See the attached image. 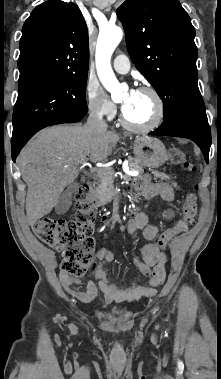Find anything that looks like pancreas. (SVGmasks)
Returning <instances> with one entry per match:
<instances>
[{
	"instance_id": "1",
	"label": "pancreas",
	"mask_w": 221,
	"mask_h": 379,
	"mask_svg": "<svg viewBox=\"0 0 221 379\" xmlns=\"http://www.w3.org/2000/svg\"><path fill=\"white\" fill-rule=\"evenodd\" d=\"M129 168L132 171H137L139 174H143V164L136 158H128ZM152 174L156 178H161L162 180H169L171 177L163 172L152 170ZM127 180H131V177L125 175ZM97 187L92 190V193L102 202H110L115 195L114 189V170L112 168H107L103 170V174L99 175L97 181Z\"/></svg>"
}]
</instances>
